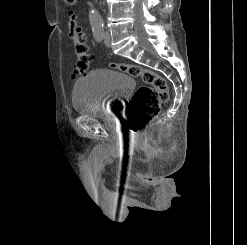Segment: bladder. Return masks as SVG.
Instances as JSON below:
<instances>
[{
    "mask_svg": "<svg viewBox=\"0 0 247 245\" xmlns=\"http://www.w3.org/2000/svg\"><path fill=\"white\" fill-rule=\"evenodd\" d=\"M134 87L135 81L128 74L96 69L74 83L72 105L79 115L101 117L116 112Z\"/></svg>",
    "mask_w": 247,
    "mask_h": 245,
    "instance_id": "31cf9c89",
    "label": "bladder"
}]
</instances>
